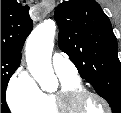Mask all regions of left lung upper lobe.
Returning a JSON list of instances; mask_svg holds the SVG:
<instances>
[{
  "instance_id": "5c2ea615",
  "label": "left lung upper lobe",
  "mask_w": 121,
  "mask_h": 113,
  "mask_svg": "<svg viewBox=\"0 0 121 113\" xmlns=\"http://www.w3.org/2000/svg\"><path fill=\"white\" fill-rule=\"evenodd\" d=\"M63 52L112 107L121 113V75L117 39L111 23L95 0H69L54 13Z\"/></svg>"
}]
</instances>
